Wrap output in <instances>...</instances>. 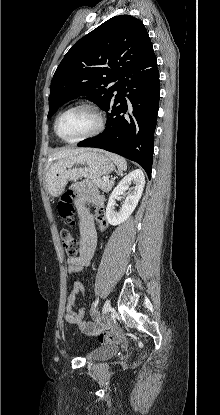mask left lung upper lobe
<instances>
[{
    "instance_id": "left-lung-upper-lobe-1",
    "label": "left lung upper lobe",
    "mask_w": 220,
    "mask_h": 415,
    "mask_svg": "<svg viewBox=\"0 0 220 415\" xmlns=\"http://www.w3.org/2000/svg\"><path fill=\"white\" fill-rule=\"evenodd\" d=\"M153 55L148 32L139 19L130 15L110 18L65 54L51 82L48 117L77 96H88L104 109L115 91V85L109 84Z\"/></svg>"
}]
</instances>
